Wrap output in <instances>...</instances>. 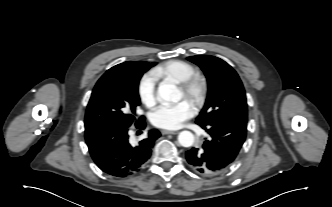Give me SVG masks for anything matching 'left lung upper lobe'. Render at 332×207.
Returning a JSON list of instances; mask_svg holds the SVG:
<instances>
[{
  "label": "left lung upper lobe",
  "instance_id": "5c2ea615",
  "mask_svg": "<svg viewBox=\"0 0 332 207\" xmlns=\"http://www.w3.org/2000/svg\"><path fill=\"white\" fill-rule=\"evenodd\" d=\"M187 59L199 65L208 80L206 102L196 123L208 126L234 120L247 122L245 90L235 70L214 56L198 55Z\"/></svg>",
  "mask_w": 332,
  "mask_h": 207
}]
</instances>
